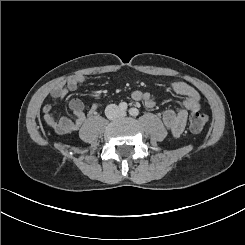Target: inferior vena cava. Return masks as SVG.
I'll list each match as a JSON object with an SVG mask.
<instances>
[{"label": "inferior vena cava", "instance_id": "inferior-vena-cava-1", "mask_svg": "<svg viewBox=\"0 0 245 245\" xmlns=\"http://www.w3.org/2000/svg\"><path fill=\"white\" fill-rule=\"evenodd\" d=\"M106 116L109 119H115L118 117V107L114 104L108 105L105 110Z\"/></svg>", "mask_w": 245, "mask_h": 245}]
</instances>
